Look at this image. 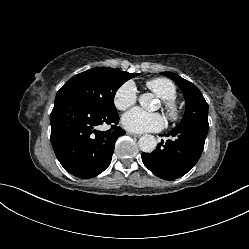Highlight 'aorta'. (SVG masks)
<instances>
[{
    "label": "aorta",
    "instance_id": "762f6f07",
    "mask_svg": "<svg viewBox=\"0 0 249 249\" xmlns=\"http://www.w3.org/2000/svg\"><path fill=\"white\" fill-rule=\"evenodd\" d=\"M153 102V96L149 93L142 94L139 97V103L142 108H149ZM157 146L156 138L153 135H143L139 139V147L143 152L150 153Z\"/></svg>",
    "mask_w": 249,
    "mask_h": 249
}]
</instances>
